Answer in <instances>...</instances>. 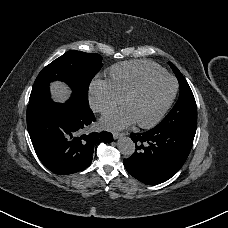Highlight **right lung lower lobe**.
<instances>
[{"label":"right lung lower lobe","mask_w":228,"mask_h":228,"mask_svg":"<svg viewBox=\"0 0 228 228\" xmlns=\"http://www.w3.org/2000/svg\"><path fill=\"white\" fill-rule=\"evenodd\" d=\"M93 121L91 109L80 111L70 102L59 104L47 99L27 107L34 150L44 166L59 175L85 169L91 164L96 145L113 141L109 132H90Z\"/></svg>","instance_id":"1"}]
</instances>
